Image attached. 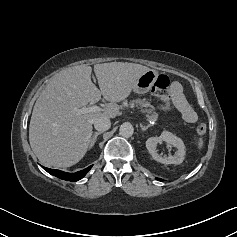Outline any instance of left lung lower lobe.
Listing matches in <instances>:
<instances>
[{"mask_svg":"<svg viewBox=\"0 0 237 237\" xmlns=\"http://www.w3.org/2000/svg\"><path fill=\"white\" fill-rule=\"evenodd\" d=\"M157 180H159V181H162L161 179H159V178H156Z\"/></svg>","mask_w":237,"mask_h":237,"instance_id":"obj_1","label":"left lung lower lobe"}]
</instances>
